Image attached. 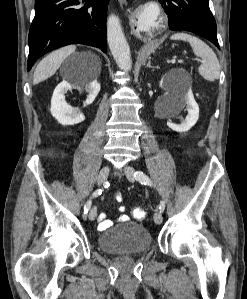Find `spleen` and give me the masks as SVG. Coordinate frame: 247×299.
Returning a JSON list of instances; mask_svg holds the SVG:
<instances>
[{
	"instance_id": "obj_1",
	"label": "spleen",
	"mask_w": 247,
	"mask_h": 299,
	"mask_svg": "<svg viewBox=\"0 0 247 299\" xmlns=\"http://www.w3.org/2000/svg\"><path fill=\"white\" fill-rule=\"evenodd\" d=\"M172 40H183L190 43L194 54L201 57L202 63L198 67L199 74L207 81H214L220 76V65L214 51L202 40L187 33H176Z\"/></svg>"
}]
</instances>
